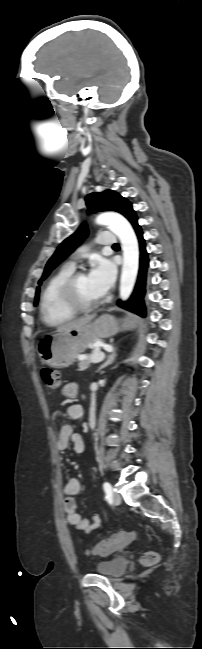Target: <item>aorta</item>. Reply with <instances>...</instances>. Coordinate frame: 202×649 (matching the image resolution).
<instances>
[{
	"label": "aorta",
	"mask_w": 202,
	"mask_h": 649,
	"mask_svg": "<svg viewBox=\"0 0 202 649\" xmlns=\"http://www.w3.org/2000/svg\"><path fill=\"white\" fill-rule=\"evenodd\" d=\"M96 223L106 225L119 238L123 251V266L120 278V298L127 300L133 290L138 267L139 246L130 223L121 214L107 212L96 218Z\"/></svg>",
	"instance_id": "obj_1"
}]
</instances>
